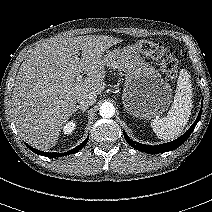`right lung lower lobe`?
<instances>
[{
  "label": "right lung lower lobe",
  "mask_w": 212,
  "mask_h": 212,
  "mask_svg": "<svg viewBox=\"0 0 212 212\" xmlns=\"http://www.w3.org/2000/svg\"><path fill=\"white\" fill-rule=\"evenodd\" d=\"M88 141V138H86L80 145H78L77 147H75L74 149L70 150V151H67L65 153H49V152H43V151H39L29 145H27V147L33 151L34 153L36 154H39V155H42V156H46V157H51V158H56V157H60V156H65V155H69V154H74L76 153L77 151H79L80 149H82L85 144L87 143Z\"/></svg>",
  "instance_id": "98d812e1"
}]
</instances>
